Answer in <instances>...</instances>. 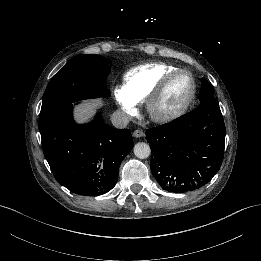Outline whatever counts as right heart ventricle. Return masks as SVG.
<instances>
[{
    "mask_svg": "<svg viewBox=\"0 0 261 261\" xmlns=\"http://www.w3.org/2000/svg\"><path fill=\"white\" fill-rule=\"evenodd\" d=\"M175 69L164 63L137 66L124 75L123 89L134 102H146L164 78Z\"/></svg>",
    "mask_w": 261,
    "mask_h": 261,
    "instance_id": "right-heart-ventricle-1",
    "label": "right heart ventricle"
}]
</instances>
